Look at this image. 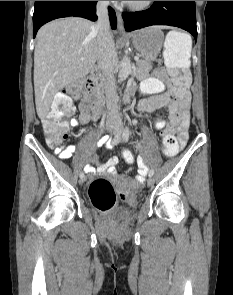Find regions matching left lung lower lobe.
<instances>
[{"label": "left lung lower lobe", "instance_id": "0a47b994", "mask_svg": "<svg viewBox=\"0 0 233 295\" xmlns=\"http://www.w3.org/2000/svg\"><path fill=\"white\" fill-rule=\"evenodd\" d=\"M126 31L150 25H171L190 32L197 40L195 1H155L146 11L122 14Z\"/></svg>", "mask_w": 233, "mask_h": 295}]
</instances>
